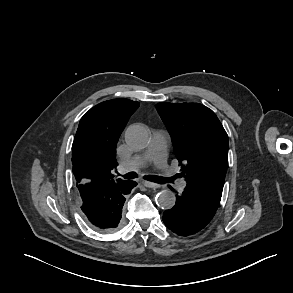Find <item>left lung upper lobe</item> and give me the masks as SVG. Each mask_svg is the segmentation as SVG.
I'll list each match as a JSON object with an SVG mask.
<instances>
[{"mask_svg":"<svg viewBox=\"0 0 293 293\" xmlns=\"http://www.w3.org/2000/svg\"><path fill=\"white\" fill-rule=\"evenodd\" d=\"M174 153L178 175L198 195L219 206L228 167V135L215 113L198 103H158Z\"/></svg>","mask_w":293,"mask_h":293,"instance_id":"1","label":"left lung upper lobe"}]
</instances>
